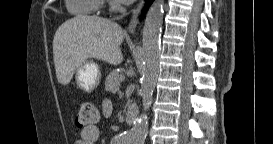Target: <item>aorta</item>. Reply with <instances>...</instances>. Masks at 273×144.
<instances>
[{"label":"aorta","mask_w":273,"mask_h":144,"mask_svg":"<svg viewBox=\"0 0 273 144\" xmlns=\"http://www.w3.org/2000/svg\"><path fill=\"white\" fill-rule=\"evenodd\" d=\"M164 0H155L147 12L143 28V70L141 95L143 113L133 127L118 137L119 144H143L148 133L146 111L152 103L153 92L159 73L160 36L163 24Z\"/></svg>","instance_id":"aorta-1"}]
</instances>
